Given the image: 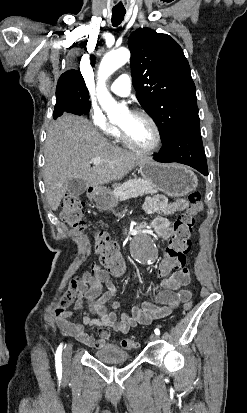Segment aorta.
Masks as SVG:
<instances>
[{
	"label": "aorta",
	"instance_id": "1",
	"mask_svg": "<svg viewBox=\"0 0 247 413\" xmlns=\"http://www.w3.org/2000/svg\"><path fill=\"white\" fill-rule=\"evenodd\" d=\"M130 60V51L126 48H119L107 53L99 66L97 97L101 107L107 112L109 118H116L124 110V107L119 105L111 96L105 87V81L117 69L126 64Z\"/></svg>",
	"mask_w": 247,
	"mask_h": 413
}]
</instances>
